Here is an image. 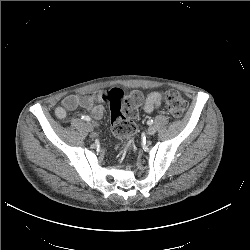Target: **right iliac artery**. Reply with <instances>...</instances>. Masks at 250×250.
Segmentation results:
<instances>
[{
    "mask_svg": "<svg viewBox=\"0 0 250 250\" xmlns=\"http://www.w3.org/2000/svg\"><path fill=\"white\" fill-rule=\"evenodd\" d=\"M81 118L83 120H85V121H90L91 120V118L89 116H87V115H82Z\"/></svg>",
    "mask_w": 250,
    "mask_h": 250,
    "instance_id": "1",
    "label": "right iliac artery"
}]
</instances>
